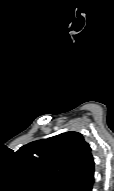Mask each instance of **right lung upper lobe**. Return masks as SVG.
<instances>
[{"instance_id": "right-lung-upper-lobe-1", "label": "right lung upper lobe", "mask_w": 114, "mask_h": 191, "mask_svg": "<svg viewBox=\"0 0 114 191\" xmlns=\"http://www.w3.org/2000/svg\"><path fill=\"white\" fill-rule=\"evenodd\" d=\"M16 154L43 188H57L75 177L94 172L91 148L74 131L31 142Z\"/></svg>"}]
</instances>
